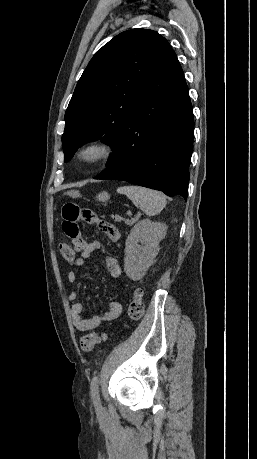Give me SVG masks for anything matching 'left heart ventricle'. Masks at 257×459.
Returning a JSON list of instances; mask_svg holds the SVG:
<instances>
[{
	"instance_id": "1",
	"label": "left heart ventricle",
	"mask_w": 257,
	"mask_h": 459,
	"mask_svg": "<svg viewBox=\"0 0 257 459\" xmlns=\"http://www.w3.org/2000/svg\"><path fill=\"white\" fill-rule=\"evenodd\" d=\"M86 156H87V157H90V156H92V154H91V153H89V154H87Z\"/></svg>"
}]
</instances>
